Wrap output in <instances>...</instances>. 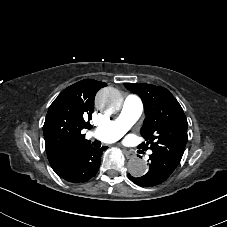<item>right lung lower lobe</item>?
<instances>
[{
    "label": "right lung lower lobe",
    "mask_w": 227,
    "mask_h": 227,
    "mask_svg": "<svg viewBox=\"0 0 227 227\" xmlns=\"http://www.w3.org/2000/svg\"><path fill=\"white\" fill-rule=\"evenodd\" d=\"M101 155L102 149H96L90 144L76 151L65 165L55 173L69 182H86L97 173Z\"/></svg>",
    "instance_id": "98d812e1"
}]
</instances>
